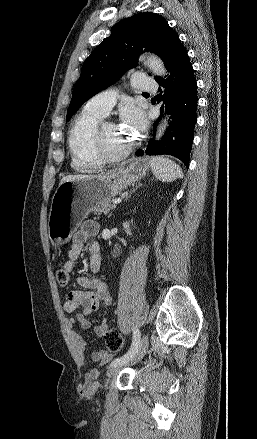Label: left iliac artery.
Segmentation results:
<instances>
[{
	"label": "left iliac artery",
	"instance_id": "obj_1",
	"mask_svg": "<svg viewBox=\"0 0 257 439\" xmlns=\"http://www.w3.org/2000/svg\"><path fill=\"white\" fill-rule=\"evenodd\" d=\"M140 342V332L138 329H134L133 331V340L129 351L124 354L122 357L115 359L112 361L111 366H115L117 364L123 363L127 361L132 355L136 352Z\"/></svg>",
	"mask_w": 257,
	"mask_h": 439
}]
</instances>
